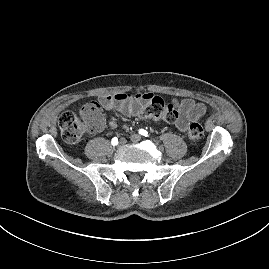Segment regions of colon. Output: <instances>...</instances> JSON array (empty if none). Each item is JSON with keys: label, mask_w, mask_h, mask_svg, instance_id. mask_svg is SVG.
Listing matches in <instances>:
<instances>
[{"label": "colon", "mask_w": 269, "mask_h": 269, "mask_svg": "<svg viewBox=\"0 0 269 269\" xmlns=\"http://www.w3.org/2000/svg\"><path fill=\"white\" fill-rule=\"evenodd\" d=\"M177 116V111L172 104L165 102L160 96H153L139 113L141 119H161L172 122ZM103 121L101 106L92 101L86 103L77 111H65L59 116L58 124L61 136L68 143L77 142L87 131L97 130ZM188 137L193 142H198L203 137V128L197 123L190 124Z\"/></svg>", "instance_id": "5ec220e1"}]
</instances>
